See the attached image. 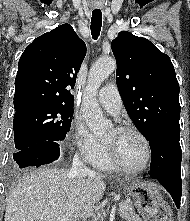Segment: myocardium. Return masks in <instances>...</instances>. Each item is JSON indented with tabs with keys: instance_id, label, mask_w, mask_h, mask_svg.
Returning a JSON list of instances; mask_svg holds the SVG:
<instances>
[{
	"instance_id": "f54148a6",
	"label": "myocardium",
	"mask_w": 190,
	"mask_h": 221,
	"mask_svg": "<svg viewBox=\"0 0 190 221\" xmlns=\"http://www.w3.org/2000/svg\"><path fill=\"white\" fill-rule=\"evenodd\" d=\"M115 130L118 133L133 132V133L137 134L141 138V140L143 141V143L145 145L146 160H145L144 165L138 169L128 168L120 160L114 145L109 142L104 141L103 143H104L106 152H107L108 157L110 158L111 162L119 170H121L125 173H128V174H141V173L145 172L150 167L151 161H152V147H151L150 141L147 138V136L140 129H138L137 127H135L133 125H126V124L118 125L115 127Z\"/></svg>"
}]
</instances>
